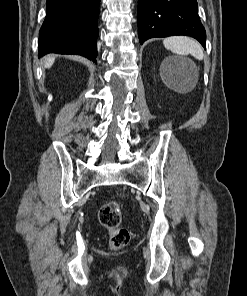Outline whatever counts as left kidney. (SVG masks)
I'll use <instances>...</instances> for the list:
<instances>
[{
  "instance_id": "obj_1",
  "label": "left kidney",
  "mask_w": 247,
  "mask_h": 296,
  "mask_svg": "<svg viewBox=\"0 0 247 296\" xmlns=\"http://www.w3.org/2000/svg\"><path fill=\"white\" fill-rule=\"evenodd\" d=\"M165 62L167 65H169L170 67H172L176 71H181L184 69V66L179 59L169 58V59H166Z\"/></svg>"
}]
</instances>
